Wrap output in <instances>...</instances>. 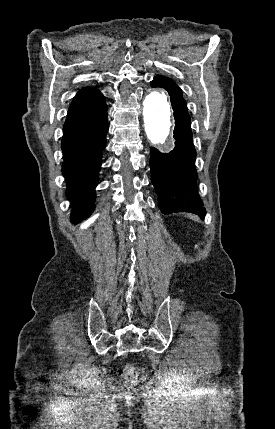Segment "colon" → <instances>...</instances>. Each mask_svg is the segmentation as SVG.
Returning a JSON list of instances; mask_svg holds the SVG:
<instances>
[{
    "label": "colon",
    "instance_id": "obj_1",
    "mask_svg": "<svg viewBox=\"0 0 275 429\" xmlns=\"http://www.w3.org/2000/svg\"><path fill=\"white\" fill-rule=\"evenodd\" d=\"M126 383L131 384L134 382V371L131 368H127L125 372Z\"/></svg>",
    "mask_w": 275,
    "mask_h": 429
}]
</instances>
